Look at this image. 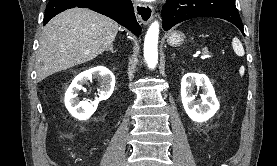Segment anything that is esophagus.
I'll list each match as a JSON object with an SVG mask.
<instances>
[{
  "label": "esophagus",
  "instance_id": "esophagus-1",
  "mask_svg": "<svg viewBox=\"0 0 277 166\" xmlns=\"http://www.w3.org/2000/svg\"><path fill=\"white\" fill-rule=\"evenodd\" d=\"M134 10L140 23L144 25L150 23L154 14V7L152 5L135 2Z\"/></svg>",
  "mask_w": 277,
  "mask_h": 166
}]
</instances>
